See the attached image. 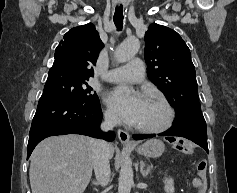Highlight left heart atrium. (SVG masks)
<instances>
[{
	"mask_svg": "<svg viewBox=\"0 0 237 193\" xmlns=\"http://www.w3.org/2000/svg\"><path fill=\"white\" fill-rule=\"evenodd\" d=\"M106 102L126 122L136 124L145 104V99L130 87L120 85L107 93Z\"/></svg>",
	"mask_w": 237,
	"mask_h": 193,
	"instance_id": "39dd6f15",
	"label": "left heart atrium"
}]
</instances>
